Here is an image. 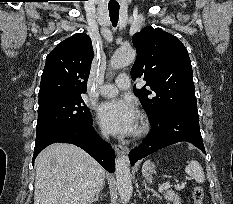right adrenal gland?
<instances>
[{"mask_svg":"<svg viewBox=\"0 0 233 204\" xmlns=\"http://www.w3.org/2000/svg\"><path fill=\"white\" fill-rule=\"evenodd\" d=\"M102 189H103V187L100 189V191H101ZM100 191H99L98 193H96L95 197L93 198V200L91 201V203H90V204H92V203H93V202H95V201H98Z\"/></svg>","mask_w":233,"mask_h":204,"instance_id":"obj_1","label":"right adrenal gland"}]
</instances>
